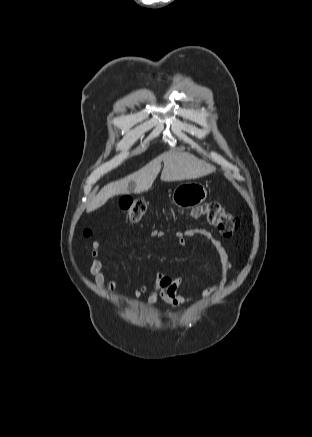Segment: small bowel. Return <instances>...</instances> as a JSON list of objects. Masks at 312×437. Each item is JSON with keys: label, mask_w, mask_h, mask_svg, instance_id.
<instances>
[{"label": "small bowel", "mask_w": 312, "mask_h": 437, "mask_svg": "<svg viewBox=\"0 0 312 437\" xmlns=\"http://www.w3.org/2000/svg\"><path fill=\"white\" fill-rule=\"evenodd\" d=\"M151 236L159 238L163 237L164 233L161 230H153ZM175 236L182 246L186 244V237L204 236L215 247L221 262L220 272L217 281L213 285L205 288L201 292V296L208 297L219 292L227 283L232 268L231 259L221 243L207 230L198 228L177 231ZM92 257L93 260L90 266L91 276L95 279L99 288H106L110 293L114 294L116 291V282L113 278L109 280L105 279V265L102 261V247L98 240L93 242ZM184 283L185 281L183 278H170L162 273H158L156 274L155 284L152 288H149L147 285H142L134 290V296L140 297L141 295L148 293V306L152 307L158 300H162L171 308H177L192 300V297L180 292V288Z\"/></svg>", "instance_id": "small-bowel-1"}]
</instances>
